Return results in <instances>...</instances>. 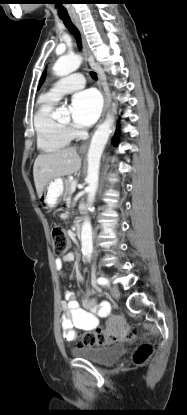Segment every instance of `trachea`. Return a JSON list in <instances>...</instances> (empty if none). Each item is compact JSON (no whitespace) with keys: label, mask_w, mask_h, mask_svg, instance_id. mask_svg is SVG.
Instances as JSON below:
<instances>
[{"label":"trachea","mask_w":187,"mask_h":415,"mask_svg":"<svg viewBox=\"0 0 187 415\" xmlns=\"http://www.w3.org/2000/svg\"><path fill=\"white\" fill-rule=\"evenodd\" d=\"M62 20H63V23L66 26V28L69 30V32L71 34H73L74 37L76 38L77 43H78V47L81 48V37H80V32L77 29V27L72 23V21L70 19H62ZM90 74H91V77L94 80L98 79L97 74L95 72H91Z\"/></svg>","instance_id":"trachea-1"}]
</instances>
